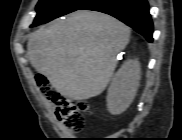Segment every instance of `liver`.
Instances as JSON below:
<instances>
[{
    "mask_svg": "<svg viewBox=\"0 0 182 140\" xmlns=\"http://www.w3.org/2000/svg\"><path fill=\"white\" fill-rule=\"evenodd\" d=\"M130 29L100 12L75 11L34 32L28 56L37 72L69 100L100 95L116 68V56L128 44Z\"/></svg>",
    "mask_w": 182,
    "mask_h": 140,
    "instance_id": "1",
    "label": "liver"
}]
</instances>
